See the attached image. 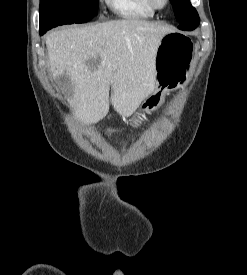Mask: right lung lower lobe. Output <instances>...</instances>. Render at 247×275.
Segmentation results:
<instances>
[{"label": "right lung lower lobe", "instance_id": "98d812e1", "mask_svg": "<svg viewBox=\"0 0 247 275\" xmlns=\"http://www.w3.org/2000/svg\"><path fill=\"white\" fill-rule=\"evenodd\" d=\"M46 31V29H40V35H43Z\"/></svg>", "mask_w": 247, "mask_h": 275}]
</instances>
